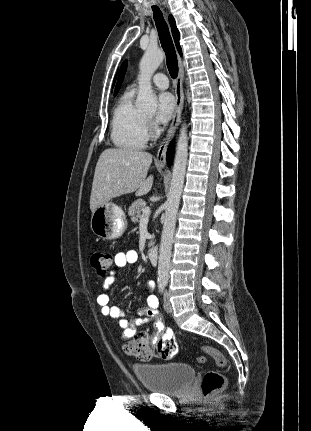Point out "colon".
<instances>
[{
    "label": "colon",
    "mask_w": 311,
    "mask_h": 431,
    "mask_svg": "<svg viewBox=\"0 0 311 431\" xmlns=\"http://www.w3.org/2000/svg\"><path fill=\"white\" fill-rule=\"evenodd\" d=\"M113 262L112 255L104 250H94L90 255V264L99 277L108 275L109 268ZM123 349L128 355L134 356L142 361H148L156 356L168 359L177 354L178 346L174 337H163L159 341H152L142 334L137 335L124 343ZM201 350L211 356L217 367L223 369L227 366L226 357L216 348L201 346ZM199 363H205L206 358H197ZM226 383L225 375L220 370H210L205 373L201 382L202 393L205 397L221 390Z\"/></svg>",
    "instance_id": "1"
}]
</instances>
